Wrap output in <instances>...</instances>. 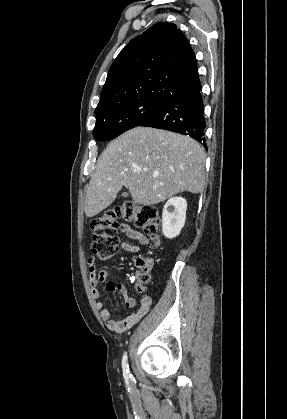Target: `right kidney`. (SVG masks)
Masks as SVG:
<instances>
[{"instance_id": "obj_1", "label": "right kidney", "mask_w": 287, "mask_h": 419, "mask_svg": "<svg viewBox=\"0 0 287 419\" xmlns=\"http://www.w3.org/2000/svg\"><path fill=\"white\" fill-rule=\"evenodd\" d=\"M187 202L182 197H172L164 205L162 212V232L167 238L178 236L184 227Z\"/></svg>"}]
</instances>
